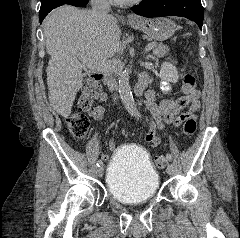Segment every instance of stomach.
Here are the masks:
<instances>
[{
	"label": "stomach",
	"instance_id": "obj_1",
	"mask_svg": "<svg viewBox=\"0 0 240 238\" xmlns=\"http://www.w3.org/2000/svg\"><path fill=\"white\" fill-rule=\"evenodd\" d=\"M130 25L158 41L168 39L176 31L174 21L168 18L140 19L138 23Z\"/></svg>",
	"mask_w": 240,
	"mask_h": 238
}]
</instances>
